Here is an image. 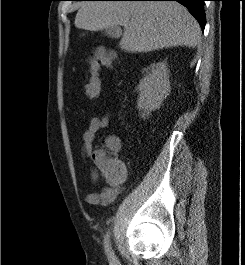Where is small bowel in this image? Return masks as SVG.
Listing matches in <instances>:
<instances>
[{
	"label": "small bowel",
	"mask_w": 245,
	"mask_h": 265,
	"mask_svg": "<svg viewBox=\"0 0 245 265\" xmlns=\"http://www.w3.org/2000/svg\"><path fill=\"white\" fill-rule=\"evenodd\" d=\"M109 120L110 117L108 114L92 117L87 130L82 136V157H89L94 164V169L92 170L90 176L91 182L97 186L101 180L104 182V185L98 187V191L85 195V201L91 205H110L118 199V196L123 190L125 174L119 179H109L105 177L95 165V156L100 149H95L93 142L96 134L108 126ZM112 139L114 138H110L107 143H109Z\"/></svg>",
	"instance_id": "obj_1"
}]
</instances>
